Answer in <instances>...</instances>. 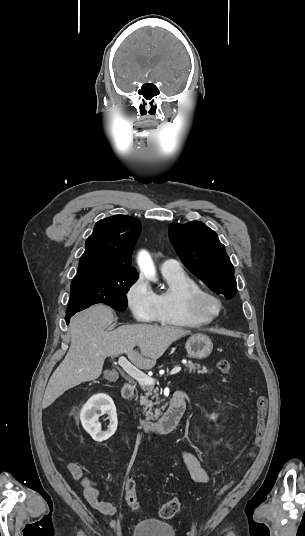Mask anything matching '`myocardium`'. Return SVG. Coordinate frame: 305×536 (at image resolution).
Instances as JSON below:
<instances>
[{"label":"myocardium","instance_id":"f54148a6","mask_svg":"<svg viewBox=\"0 0 305 536\" xmlns=\"http://www.w3.org/2000/svg\"><path fill=\"white\" fill-rule=\"evenodd\" d=\"M210 300L217 301L219 305L217 312L213 315L207 313L208 301ZM184 306L186 312L198 319L201 325L213 324L224 311L222 297L207 289H198L188 293L184 298Z\"/></svg>","mask_w":305,"mask_h":536}]
</instances>
